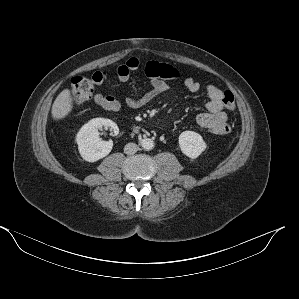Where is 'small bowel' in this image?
I'll use <instances>...</instances> for the list:
<instances>
[{"label":"small bowel","instance_id":"1","mask_svg":"<svg viewBox=\"0 0 299 299\" xmlns=\"http://www.w3.org/2000/svg\"><path fill=\"white\" fill-rule=\"evenodd\" d=\"M140 69L139 60L135 57L130 58L125 64L118 66L114 70V77L118 80L127 81L132 72ZM144 72L150 78L149 89L140 96H128L125 98V105L131 109H140L148 105L158 95L165 92L169 85L168 81L177 80L180 76L178 70L169 64L150 61L146 64ZM184 86L191 92H198L201 84L193 78H185ZM205 93L208 97L206 111L196 116L198 125L208 132L216 135L227 134L230 132L228 117L224 111L223 97L224 91L214 85H207ZM94 102L106 110L118 111L121 108V101L113 96H105L97 93L93 96Z\"/></svg>","mask_w":299,"mask_h":299}]
</instances>
